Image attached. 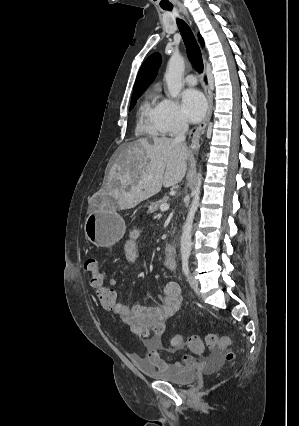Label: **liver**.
I'll return each instance as SVG.
<instances>
[{
    "label": "liver",
    "instance_id": "6515ba94",
    "mask_svg": "<svg viewBox=\"0 0 299 426\" xmlns=\"http://www.w3.org/2000/svg\"><path fill=\"white\" fill-rule=\"evenodd\" d=\"M190 151L170 138H140L121 145L109 174V184L102 190L112 208L130 209L182 181Z\"/></svg>",
    "mask_w": 299,
    "mask_h": 426
}]
</instances>
